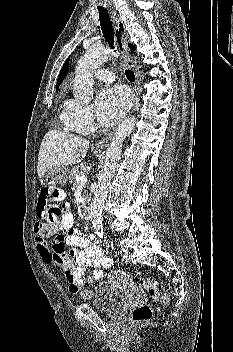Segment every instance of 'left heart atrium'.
<instances>
[{"instance_id":"39dd6f15","label":"left heart atrium","mask_w":233,"mask_h":352,"mask_svg":"<svg viewBox=\"0 0 233 352\" xmlns=\"http://www.w3.org/2000/svg\"><path fill=\"white\" fill-rule=\"evenodd\" d=\"M130 96L121 86L107 87L100 91L96 100V111L104 125L116 123L127 111Z\"/></svg>"}]
</instances>
